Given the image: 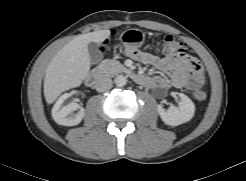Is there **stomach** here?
Here are the masks:
<instances>
[{
    "label": "stomach",
    "mask_w": 246,
    "mask_h": 181,
    "mask_svg": "<svg viewBox=\"0 0 246 181\" xmlns=\"http://www.w3.org/2000/svg\"><path fill=\"white\" fill-rule=\"evenodd\" d=\"M145 40V34L139 29H129L124 31L120 36L121 44L124 47L139 48Z\"/></svg>",
    "instance_id": "1"
}]
</instances>
